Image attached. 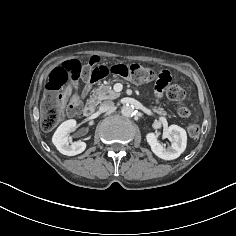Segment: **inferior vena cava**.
Instances as JSON below:
<instances>
[{
    "mask_svg": "<svg viewBox=\"0 0 236 236\" xmlns=\"http://www.w3.org/2000/svg\"><path fill=\"white\" fill-rule=\"evenodd\" d=\"M114 107V102L113 101H104L103 103H101L99 110L101 112H107L109 110H111Z\"/></svg>",
    "mask_w": 236,
    "mask_h": 236,
    "instance_id": "inferior-vena-cava-1",
    "label": "inferior vena cava"
}]
</instances>
